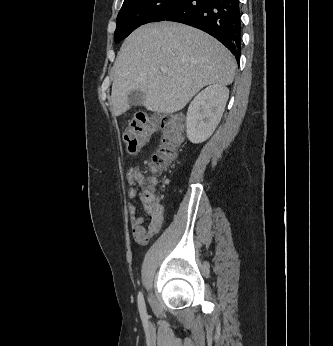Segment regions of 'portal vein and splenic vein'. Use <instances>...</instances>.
Listing matches in <instances>:
<instances>
[{
	"instance_id": "obj_1",
	"label": "portal vein and splenic vein",
	"mask_w": 333,
	"mask_h": 346,
	"mask_svg": "<svg viewBox=\"0 0 333 346\" xmlns=\"http://www.w3.org/2000/svg\"><path fill=\"white\" fill-rule=\"evenodd\" d=\"M162 73H167V68H161Z\"/></svg>"
}]
</instances>
